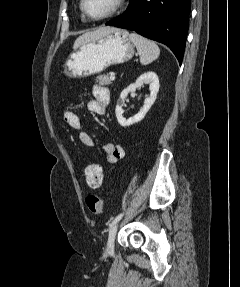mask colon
Wrapping results in <instances>:
<instances>
[{
  "instance_id": "5ec220e1",
  "label": "colon",
  "mask_w": 240,
  "mask_h": 287,
  "mask_svg": "<svg viewBox=\"0 0 240 287\" xmlns=\"http://www.w3.org/2000/svg\"><path fill=\"white\" fill-rule=\"evenodd\" d=\"M86 184L92 189H98L103 184V170L99 164L89 163L84 169ZM87 206L92 214L101 215L104 213L105 195H88Z\"/></svg>"
}]
</instances>
